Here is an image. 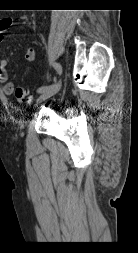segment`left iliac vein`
Segmentation results:
<instances>
[{"label":"left iliac vein","mask_w":138,"mask_h":253,"mask_svg":"<svg viewBox=\"0 0 138 253\" xmlns=\"http://www.w3.org/2000/svg\"><path fill=\"white\" fill-rule=\"evenodd\" d=\"M61 85H62V81L59 80L58 83L49 87L44 92H42L40 94V96L38 97L35 106H37L38 104L42 103L43 101H45V100L49 99L50 97H52L53 95H55L60 90Z\"/></svg>","instance_id":"left-iliac-vein-1"}]
</instances>
